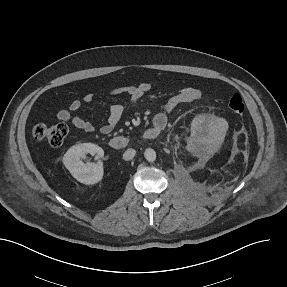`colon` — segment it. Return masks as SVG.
<instances>
[{
  "instance_id": "5ec220e1",
  "label": "colon",
  "mask_w": 287,
  "mask_h": 287,
  "mask_svg": "<svg viewBox=\"0 0 287 287\" xmlns=\"http://www.w3.org/2000/svg\"><path fill=\"white\" fill-rule=\"evenodd\" d=\"M229 109L241 115L244 112V103L239 94H234L229 100ZM68 133V128L64 124L47 125L38 123L32 128V135L38 141H46L51 146H60Z\"/></svg>"
}]
</instances>
